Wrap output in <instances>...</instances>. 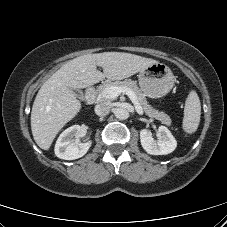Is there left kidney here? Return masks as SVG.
Returning <instances> with one entry per match:
<instances>
[{
  "label": "left kidney",
  "instance_id": "5707ae66",
  "mask_svg": "<svg viewBox=\"0 0 227 227\" xmlns=\"http://www.w3.org/2000/svg\"><path fill=\"white\" fill-rule=\"evenodd\" d=\"M158 132V139L154 140L149 130L142 129L140 131V141L143 149L151 155H166L173 152L177 142L170 130L165 126H160Z\"/></svg>",
  "mask_w": 227,
  "mask_h": 227
}]
</instances>
